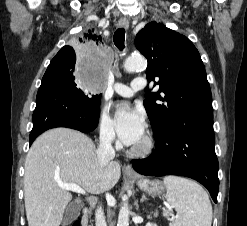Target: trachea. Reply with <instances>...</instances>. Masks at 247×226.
<instances>
[{"instance_id":"obj_1","label":"trachea","mask_w":247,"mask_h":226,"mask_svg":"<svg viewBox=\"0 0 247 226\" xmlns=\"http://www.w3.org/2000/svg\"><path fill=\"white\" fill-rule=\"evenodd\" d=\"M113 41L116 47L120 50L124 49V41H125V29L124 28H118L113 36Z\"/></svg>"}]
</instances>
